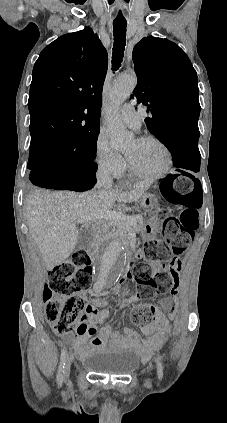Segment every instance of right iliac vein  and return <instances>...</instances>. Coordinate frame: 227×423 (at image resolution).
<instances>
[{"label":"right iliac vein","instance_id":"right-iliac-vein-1","mask_svg":"<svg viewBox=\"0 0 227 423\" xmlns=\"http://www.w3.org/2000/svg\"><path fill=\"white\" fill-rule=\"evenodd\" d=\"M72 358L68 357L64 367V378L66 379L71 369Z\"/></svg>","mask_w":227,"mask_h":423}]
</instances>
